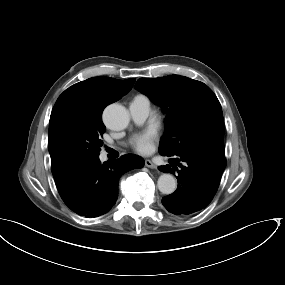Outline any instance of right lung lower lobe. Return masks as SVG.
<instances>
[{
    "instance_id": "98d812e1",
    "label": "right lung lower lobe",
    "mask_w": 285,
    "mask_h": 285,
    "mask_svg": "<svg viewBox=\"0 0 285 285\" xmlns=\"http://www.w3.org/2000/svg\"><path fill=\"white\" fill-rule=\"evenodd\" d=\"M143 166L142 158L130 154L103 164L97 157L61 172L54 180L62 200L73 212L98 217L115 204L122 174Z\"/></svg>"
}]
</instances>
